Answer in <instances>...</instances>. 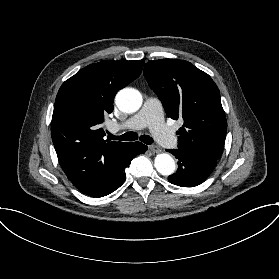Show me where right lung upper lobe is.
<instances>
[{
	"label": "right lung upper lobe",
	"instance_id": "1",
	"mask_svg": "<svg viewBox=\"0 0 279 279\" xmlns=\"http://www.w3.org/2000/svg\"><path fill=\"white\" fill-rule=\"evenodd\" d=\"M144 60L90 64L60 87L52 141L67 178L83 194L96 193L123 164L133 143L105 140L100 125L115 94L142 72Z\"/></svg>",
	"mask_w": 279,
	"mask_h": 279
}]
</instances>
